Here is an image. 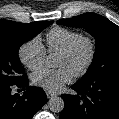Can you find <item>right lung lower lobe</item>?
<instances>
[{
	"mask_svg": "<svg viewBox=\"0 0 119 119\" xmlns=\"http://www.w3.org/2000/svg\"><path fill=\"white\" fill-rule=\"evenodd\" d=\"M15 87L25 90L22 96L12 94ZM46 101L43 89L28 86L27 76L16 84L0 85V119H32Z\"/></svg>",
	"mask_w": 119,
	"mask_h": 119,
	"instance_id": "right-lung-lower-lobe-1",
	"label": "right lung lower lobe"
}]
</instances>
